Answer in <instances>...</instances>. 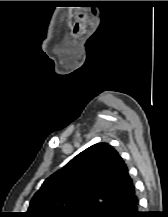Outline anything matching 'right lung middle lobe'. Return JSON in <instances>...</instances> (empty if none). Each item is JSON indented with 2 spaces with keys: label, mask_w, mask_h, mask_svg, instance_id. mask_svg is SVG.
Masks as SVG:
<instances>
[{
  "label": "right lung middle lobe",
  "mask_w": 168,
  "mask_h": 217,
  "mask_svg": "<svg viewBox=\"0 0 168 217\" xmlns=\"http://www.w3.org/2000/svg\"><path fill=\"white\" fill-rule=\"evenodd\" d=\"M79 217H88V215L87 216L86 215L85 216H79Z\"/></svg>",
  "instance_id": "1"
}]
</instances>
